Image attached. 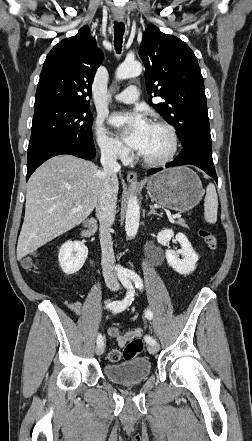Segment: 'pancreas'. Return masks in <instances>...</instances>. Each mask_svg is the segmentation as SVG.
<instances>
[{"label":"pancreas","mask_w":252,"mask_h":441,"mask_svg":"<svg viewBox=\"0 0 252 441\" xmlns=\"http://www.w3.org/2000/svg\"><path fill=\"white\" fill-rule=\"evenodd\" d=\"M176 223H177V225H179V226H182V227L188 228V226H187L186 223H185V220H183V219L178 220Z\"/></svg>","instance_id":"cf45deb5"}]
</instances>
